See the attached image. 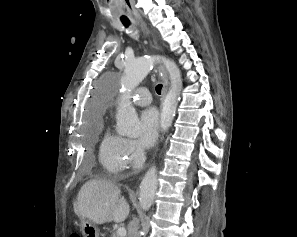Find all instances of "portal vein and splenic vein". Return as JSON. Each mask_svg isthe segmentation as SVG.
Masks as SVG:
<instances>
[{"label": "portal vein and splenic vein", "instance_id": "obj_1", "mask_svg": "<svg viewBox=\"0 0 297 237\" xmlns=\"http://www.w3.org/2000/svg\"><path fill=\"white\" fill-rule=\"evenodd\" d=\"M117 235H118V237H125L126 236L125 228H122V227L118 228Z\"/></svg>", "mask_w": 297, "mask_h": 237}]
</instances>
